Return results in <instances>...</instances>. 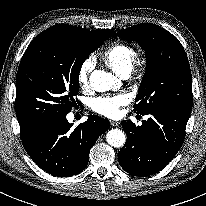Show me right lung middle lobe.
<instances>
[{"instance_id":"obj_1","label":"right lung middle lobe","mask_w":206,"mask_h":206,"mask_svg":"<svg viewBox=\"0 0 206 206\" xmlns=\"http://www.w3.org/2000/svg\"><path fill=\"white\" fill-rule=\"evenodd\" d=\"M110 31L86 37L49 28L27 47L16 76V115L20 127L60 118L76 104L85 59L112 37Z\"/></svg>"}]
</instances>
